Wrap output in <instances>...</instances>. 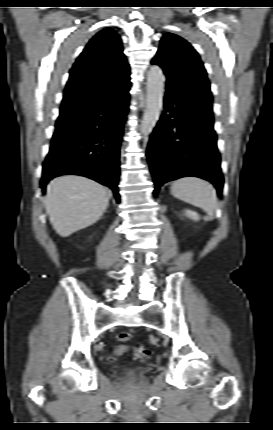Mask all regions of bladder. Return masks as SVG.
I'll list each match as a JSON object with an SVG mask.
<instances>
[{"instance_id":"obj_1","label":"bladder","mask_w":273,"mask_h":430,"mask_svg":"<svg viewBox=\"0 0 273 430\" xmlns=\"http://www.w3.org/2000/svg\"><path fill=\"white\" fill-rule=\"evenodd\" d=\"M137 372V370L136 369H128L127 370V373L128 374H130V375H133V374H135Z\"/></svg>"}]
</instances>
